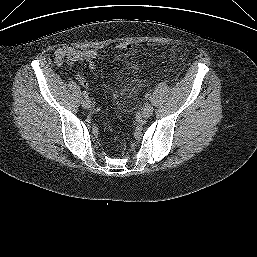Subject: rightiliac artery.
I'll list each match as a JSON object with an SVG mask.
<instances>
[{"label":"right iliac artery","instance_id":"right-iliac-artery-1","mask_svg":"<svg viewBox=\"0 0 257 257\" xmlns=\"http://www.w3.org/2000/svg\"><path fill=\"white\" fill-rule=\"evenodd\" d=\"M88 95H89L88 92H86V91L83 92V96L85 97V99H88V97H89Z\"/></svg>","mask_w":257,"mask_h":257}]
</instances>
